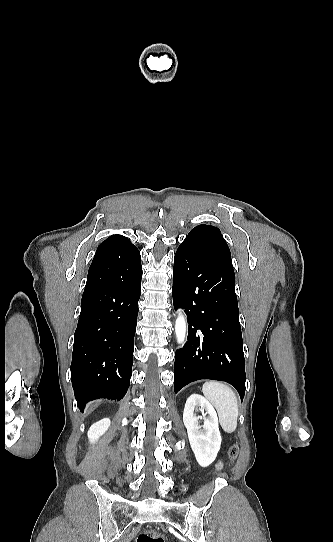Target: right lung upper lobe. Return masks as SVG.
I'll return each mask as SVG.
<instances>
[{
	"mask_svg": "<svg viewBox=\"0 0 333 542\" xmlns=\"http://www.w3.org/2000/svg\"><path fill=\"white\" fill-rule=\"evenodd\" d=\"M125 240H127V238L122 236V235H112L111 237L106 239L104 242H102L99 246H101V247L109 246V245H112V244H115V243H118V242H122V241H125Z\"/></svg>",
	"mask_w": 333,
	"mask_h": 542,
	"instance_id": "obj_1",
	"label": "right lung upper lobe"
}]
</instances>
